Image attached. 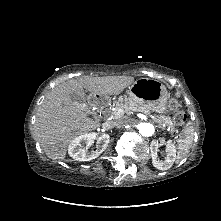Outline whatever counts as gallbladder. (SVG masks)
I'll return each instance as SVG.
<instances>
[{
    "mask_svg": "<svg viewBox=\"0 0 221 221\" xmlns=\"http://www.w3.org/2000/svg\"><path fill=\"white\" fill-rule=\"evenodd\" d=\"M69 97H70V100L73 102H77V103H85L86 102V99L84 97H81L75 93H70Z\"/></svg>",
    "mask_w": 221,
    "mask_h": 221,
    "instance_id": "gallbladder-1",
    "label": "gallbladder"
}]
</instances>
